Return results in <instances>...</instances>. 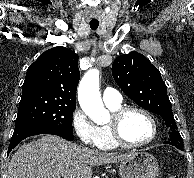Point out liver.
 I'll return each mask as SVG.
<instances>
[{"mask_svg":"<svg viewBox=\"0 0 194 178\" xmlns=\"http://www.w3.org/2000/svg\"><path fill=\"white\" fill-rule=\"evenodd\" d=\"M133 153H101L55 135L23 144L8 163L7 178H91L92 166L118 163Z\"/></svg>","mask_w":194,"mask_h":178,"instance_id":"liver-1","label":"liver"}]
</instances>
